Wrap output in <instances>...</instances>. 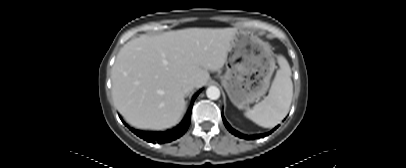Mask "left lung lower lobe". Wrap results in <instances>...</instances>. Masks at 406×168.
<instances>
[{"label": "left lung lower lobe", "mask_w": 406, "mask_h": 168, "mask_svg": "<svg viewBox=\"0 0 406 168\" xmlns=\"http://www.w3.org/2000/svg\"><path fill=\"white\" fill-rule=\"evenodd\" d=\"M222 118H223V122H224L226 128L229 130V132H231V133H232L233 135H235V136H238V137H240V138L247 139V140L263 138V137H265V136L271 134V133L278 127V126H276L272 131H270V132H268V133H265V134H257V135H250V136H248V135L241 134L240 132L234 130V129L228 124V122L225 120V118H224L223 115H222Z\"/></svg>", "instance_id": "obj_1"}]
</instances>
